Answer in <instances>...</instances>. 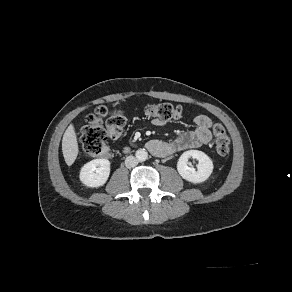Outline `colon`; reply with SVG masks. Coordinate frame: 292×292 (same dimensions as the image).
I'll return each mask as SVG.
<instances>
[{"label": "colon", "instance_id": "obj_1", "mask_svg": "<svg viewBox=\"0 0 292 292\" xmlns=\"http://www.w3.org/2000/svg\"><path fill=\"white\" fill-rule=\"evenodd\" d=\"M145 113L153 119L165 122L183 116L181 107L166 102L147 105ZM125 123L126 118L121 110H109L104 106L97 107L86 117V124L81 130V144L84 151L92 156L104 154L107 139L120 138ZM212 133L217 153L220 156H226L230 151V138L225 128L220 124H215Z\"/></svg>", "mask_w": 292, "mask_h": 292}]
</instances>
